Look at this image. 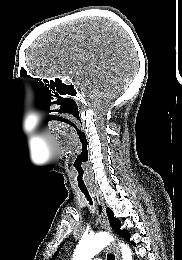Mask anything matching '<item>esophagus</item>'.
<instances>
[{
    "label": "esophagus",
    "instance_id": "esophagus-1",
    "mask_svg": "<svg viewBox=\"0 0 182 260\" xmlns=\"http://www.w3.org/2000/svg\"><path fill=\"white\" fill-rule=\"evenodd\" d=\"M94 197H95V202H96V207H97L100 225L103 229L111 232V228H110L109 222L107 220V216H106L105 205H104L102 199L100 198L99 194L95 191H94ZM111 249L114 252L116 260H121L120 259V252L117 249V247L115 245H111Z\"/></svg>",
    "mask_w": 182,
    "mask_h": 260
}]
</instances>
